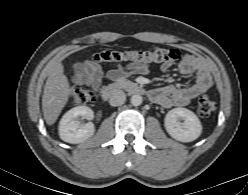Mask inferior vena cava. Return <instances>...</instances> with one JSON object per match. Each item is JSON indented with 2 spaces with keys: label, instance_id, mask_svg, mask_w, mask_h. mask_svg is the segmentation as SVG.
<instances>
[{
  "label": "inferior vena cava",
  "instance_id": "inferior-vena-cava-1",
  "mask_svg": "<svg viewBox=\"0 0 248 195\" xmlns=\"http://www.w3.org/2000/svg\"><path fill=\"white\" fill-rule=\"evenodd\" d=\"M126 100V95L122 90H116L110 97L109 103L111 106H120Z\"/></svg>",
  "mask_w": 248,
  "mask_h": 195
}]
</instances>
